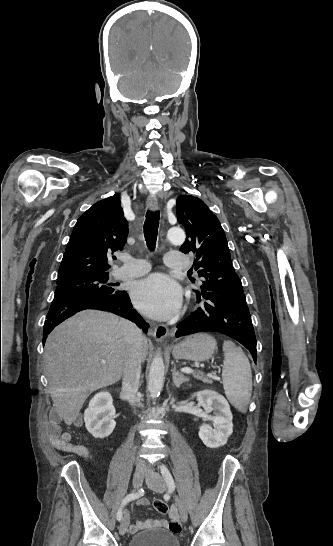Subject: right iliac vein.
<instances>
[{"label": "right iliac vein", "mask_w": 333, "mask_h": 546, "mask_svg": "<svg viewBox=\"0 0 333 546\" xmlns=\"http://www.w3.org/2000/svg\"><path fill=\"white\" fill-rule=\"evenodd\" d=\"M145 478V474L143 471H136L135 474H134V477H133V486L134 488L138 489L142 486L143 484V480ZM129 523H130V517H129V513L126 512L121 520V523H120V533L121 534H124L127 530V527L129 526Z\"/></svg>", "instance_id": "right-iliac-vein-1"}]
</instances>
